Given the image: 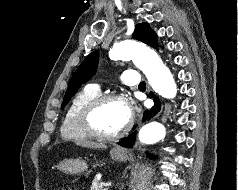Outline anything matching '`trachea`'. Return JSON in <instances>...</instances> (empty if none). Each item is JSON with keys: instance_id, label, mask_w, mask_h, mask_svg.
Here are the masks:
<instances>
[{"instance_id": "trachea-1", "label": "trachea", "mask_w": 238, "mask_h": 190, "mask_svg": "<svg viewBox=\"0 0 238 190\" xmlns=\"http://www.w3.org/2000/svg\"><path fill=\"white\" fill-rule=\"evenodd\" d=\"M145 87H146V84L144 81L139 84V88H145Z\"/></svg>"}]
</instances>
